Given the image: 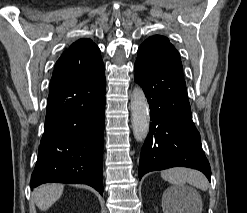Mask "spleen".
<instances>
[{
	"label": "spleen",
	"mask_w": 247,
	"mask_h": 213,
	"mask_svg": "<svg viewBox=\"0 0 247 213\" xmlns=\"http://www.w3.org/2000/svg\"><path fill=\"white\" fill-rule=\"evenodd\" d=\"M161 177L176 187H181L185 183H188L191 186L204 191L208 189V181L206 177L197 170L187 168H171L162 171ZM172 190L173 189H169L166 193L171 194Z\"/></svg>",
	"instance_id": "3e777b00"
}]
</instances>
